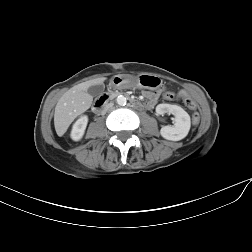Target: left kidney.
<instances>
[{
  "label": "left kidney",
  "mask_w": 252,
  "mask_h": 252,
  "mask_svg": "<svg viewBox=\"0 0 252 252\" xmlns=\"http://www.w3.org/2000/svg\"><path fill=\"white\" fill-rule=\"evenodd\" d=\"M158 115L172 114L174 115L173 126H163L160 134L163 138L172 141H179L185 138L191 127L189 114L180 106L171 104H159L156 107Z\"/></svg>",
  "instance_id": "1"
}]
</instances>
